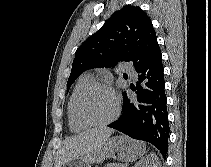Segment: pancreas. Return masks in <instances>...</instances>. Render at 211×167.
I'll list each match as a JSON object with an SVG mask.
<instances>
[{
	"mask_svg": "<svg viewBox=\"0 0 211 167\" xmlns=\"http://www.w3.org/2000/svg\"><path fill=\"white\" fill-rule=\"evenodd\" d=\"M104 167H124L122 164H117V163H109L105 165Z\"/></svg>",
	"mask_w": 211,
	"mask_h": 167,
	"instance_id": "1",
	"label": "pancreas"
}]
</instances>
